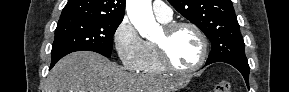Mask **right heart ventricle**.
<instances>
[{
	"mask_svg": "<svg viewBox=\"0 0 289 92\" xmlns=\"http://www.w3.org/2000/svg\"><path fill=\"white\" fill-rule=\"evenodd\" d=\"M161 22L167 23L168 21H161ZM145 42L147 53L143 66L140 70L148 74H161L165 72L166 70L160 63L154 42L152 41H145Z\"/></svg>",
	"mask_w": 289,
	"mask_h": 92,
	"instance_id": "right-heart-ventricle-1",
	"label": "right heart ventricle"
}]
</instances>
